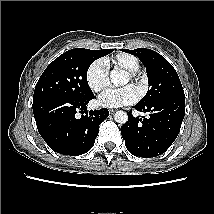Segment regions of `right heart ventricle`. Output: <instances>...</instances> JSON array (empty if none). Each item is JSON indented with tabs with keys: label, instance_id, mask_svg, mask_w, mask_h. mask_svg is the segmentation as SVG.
I'll use <instances>...</instances> for the list:
<instances>
[{
	"label": "right heart ventricle",
	"instance_id": "e07e8e85",
	"mask_svg": "<svg viewBox=\"0 0 214 214\" xmlns=\"http://www.w3.org/2000/svg\"><path fill=\"white\" fill-rule=\"evenodd\" d=\"M105 62L107 66H110V63H113L116 68L122 69L128 73H136L140 68L139 59L128 53H119L112 61L105 60Z\"/></svg>",
	"mask_w": 214,
	"mask_h": 214
}]
</instances>
